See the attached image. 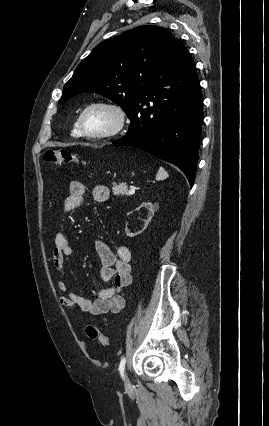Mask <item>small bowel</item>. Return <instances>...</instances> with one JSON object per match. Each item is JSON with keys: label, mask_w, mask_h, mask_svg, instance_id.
Returning a JSON list of instances; mask_svg holds the SVG:
<instances>
[{"label": "small bowel", "mask_w": 269, "mask_h": 426, "mask_svg": "<svg viewBox=\"0 0 269 426\" xmlns=\"http://www.w3.org/2000/svg\"><path fill=\"white\" fill-rule=\"evenodd\" d=\"M86 192L87 187L83 182L72 181L69 185V195L63 202V212L69 213L81 207ZM92 196L96 202L104 203L109 199L110 192L106 186L99 185L93 188ZM95 248L102 263L100 278L103 282H110V285L94 291L92 298H87L71 291L69 283L64 279L66 276L65 260L73 254V246L65 234H56L52 262L63 277L58 282L57 288L59 292L66 294L59 297V302L67 309L93 315L108 312L118 313L125 306V300L120 292L132 282L131 251L126 246H118L116 251H113L101 239L96 240Z\"/></svg>", "instance_id": "1"}]
</instances>
